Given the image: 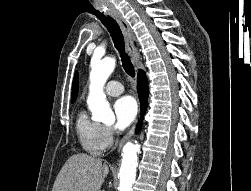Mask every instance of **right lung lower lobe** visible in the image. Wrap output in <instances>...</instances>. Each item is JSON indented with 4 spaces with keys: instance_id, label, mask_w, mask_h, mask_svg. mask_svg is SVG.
Instances as JSON below:
<instances>
[{
    "instance_id": "right-lung-lower-lobe-1",
    "label": "right lung lower lobe",
    "mask_w": 251,
    "mask_h": 191,
    "mask_svg": "<svg viewBox=\"0 0 251 191\" xmlns=\"http://www.w3.org/2000/svg\"><path fill=\"white\" fill-rule=\"evenodd\" d=\"M137 91L141 103V116L143 117L146 108H147V99H148V81L144 74L138 76L137 79ZM142 122L137 126V131L140 130Z\"/></svg>"
}]
</instances>
